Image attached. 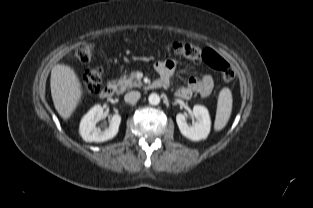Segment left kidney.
I'll list each match as a JSON object with an SVG mask.
<instances>
[{
  "label": "left kidney",
  "mask_w": 313,
  "mask_h": 208,
  "mask_svg": "<svg viewBox=\"0 0 313 208\" xmlns=\"http://www.w3.org/2000/svg\"><path fill=\"white\" fill-rule=\"evenodd\" d=\"M193 115L196 122L189 126L183 114L176 115V122L183 136L192 140L199 141L206 139L211 128V119L207 108L201 105L193 107Z\"/></svg>",
  "instance_id": "1"
}]
</instances>
